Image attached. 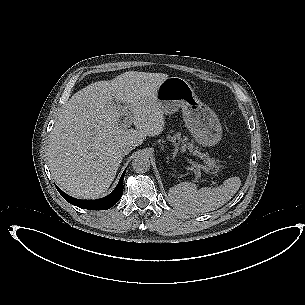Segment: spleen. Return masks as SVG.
I'll use <instances>...</instances> for the list:
<instances>
[{"label":"spleen","mask_w":305,"mask_h":305,"mask_svg":"<svg viewBox=\"0 0 305 305\" xmlns=\"http://www.w3.org/2000/svg\"><path fill=\"white\" fill-rule=\"evenodd\" d=\"M239 180L238 177L229 178L219 187H204L197 189L191 182H184L170 188L168 192L171 204L185 213H205L213 211L226 204L234 195L229 189L230 181Z\"/></svg>","instance_id":"1"}]
</instances>
